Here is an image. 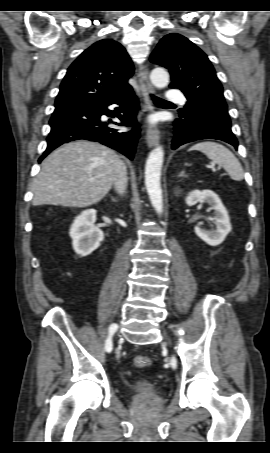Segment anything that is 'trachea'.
I'll list each match as a JSON object with an SVG mask.
<instances>
[{"instance_id":"trachea-1","label":"trachea","mask_w":270,"mask_h":453,"mask_svg":"<svg viewBox=\"0 0 270 453\" xmlns=\"http://www.w3.org/2000/svg\"><path fill=\"white\" fill-rule=\"evenodd\" d=\"M152 99H153V102L156 104V105H165V104H171V102L169 101H166L164 99H161V98H158V97H155L153 95H151Z\"/></svg>"}]
</instances>
